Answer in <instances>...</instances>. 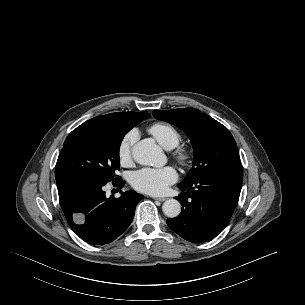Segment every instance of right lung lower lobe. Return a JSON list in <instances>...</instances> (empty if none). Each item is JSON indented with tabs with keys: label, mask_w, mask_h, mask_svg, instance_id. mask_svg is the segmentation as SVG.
<instances>
[{
	"label": "right lung lower lobe",
	"mask_w": 305,
	"mask_h": 305,
	"mask_svg": "<svg viewBox=\"0 0 305 305\" xmlns=\"http://www.w3.org/2000/svg\"><path fill=\"white\" fill-rule=\"evenodd\" d=\"M59 201L71 229L83 241L104 245L115 240L130 225L135 207L144 198L133 190L119 198H107L103 186L80 178L56 180ZM120 178L113 185L121 188Z\"/></svg>",
	"instance_id": "obj_1"
}]
</instances>
